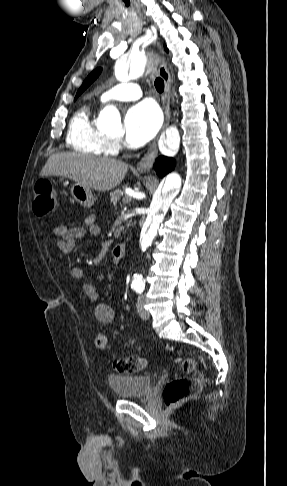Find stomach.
<instances>
[{"label": "stomach", "instance_id": "1", "mask_svg": "<svg viewBox=\"0 0 287 486\" xmlns=\"http://www.w3.org/2000/svg\"><path fill=\"white\" fill-rule=\"evenodd\" d=\"M70 191L72 197L83 207L89 208L94 204V196L89 187L76 182L71 186Z\"/></svg>", "mask_w": 287, "mask_h": 486}]
</instances>
